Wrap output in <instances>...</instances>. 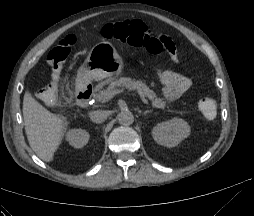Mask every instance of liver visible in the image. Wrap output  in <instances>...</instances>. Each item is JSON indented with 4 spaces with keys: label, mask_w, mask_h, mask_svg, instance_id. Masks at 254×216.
<instances>
[{
    "label": "liver",
    "mask_w": 254,
    "mask_h": 216,
    "mask_svg": "<svg viewBox=\"0 0 254 216\" xmlns=\"http://www.w3.org/2000/svg\"><path fill=\"white\" fill-rule=\"evenodd\" d=\"M23 117L30 147L43 161H52L67 128V119L48 111L30 93L24 95Z\"/></svg>",
    "instance_id": "1"
}]
</instances>
